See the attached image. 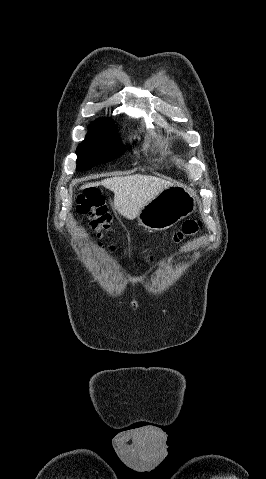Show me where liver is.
Here are the masks:
<instances>
[{
  "mask_svg": "<svg viewBox=\"0 0 266 479\" xmlns=\"http://www.w3.org/2000/svg\"><path fill=\"white\" fill-rule=\"evenodd\" d=\"M103 185L114 193L113 209L127 219H134L140 210L156 195L174 183L151 175L135 174L112 177L87 183L80 189Z\"/></svg>",
  "mask_w": 266,
  "mask_h": 479,
  "instance_id": "6515ba94",
  "label": "liver"
}]
</instances>
